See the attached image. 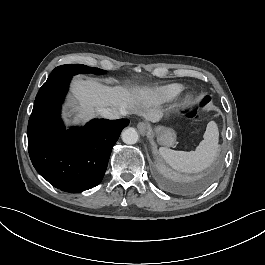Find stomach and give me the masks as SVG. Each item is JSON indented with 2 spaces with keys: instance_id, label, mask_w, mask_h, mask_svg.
Instances as JSON below:
<instances>
[{
  "instance_id": "0dacf381",
  "label": "stomach",
  "mask_w": 265,
  "mask_h": 265,
  "mask_svg": "<svg viewBox=\"0 0 265 265\" xmlns=\"http://www.w3.org/2000/svg\"><path fill=\"white\" fill-rule=\"evenodd\" d=\"M157 134V142L166 147H172L176 142V133L171 128H166L163 126H157L155 128Z\"/></svg>"
}]
</instances>
